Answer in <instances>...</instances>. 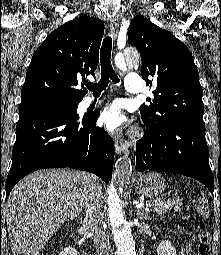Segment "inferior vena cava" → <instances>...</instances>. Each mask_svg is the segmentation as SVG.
Here are the masks:
<instances>
[{"instance_id": "obj_1", "label": "inferior vena cava", "mask_w": 221, "mask_h": 255, "mask_svg": "<svg viewBox=\"0 0 221 255\" xmlns=\"http://www.w3.org/2000/svg\"><path fill=\"white\" fill-rule=\"evenodd\" d=\"M102 191L98 183L92 184L85 198L84 224L90 228L97 255H112L109 235L103 228Z\"/></svg>"}]
</instances>
